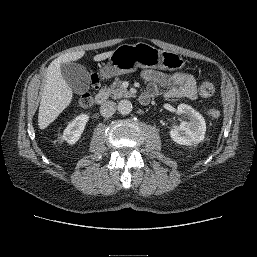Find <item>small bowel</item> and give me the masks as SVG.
<instances>
[{
    "label": "small bowel",
    "mask_w": 257,
    "mask_h": 257,
    "mask_svg": "<svg viewBox=\"0 0 257 257\" xmlns=\"http://www.w3.org/2000/svg\"><path fill=\"white\" fill-rule=\"evenodd\" d=\"M141 78L146 82L145 91L141 94L149 98L159 95L169 99H196L198 96L197 81L195 77L185 72L168 73L157 70H144ZM164 88L161 92L160 88Z\"/></svg>",
    "instance_id": "c3829d8e"
}]
</instances>
